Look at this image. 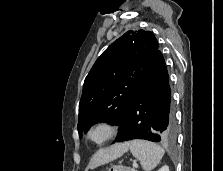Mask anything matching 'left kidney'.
Here are the masks:
<instances>
[{
    "label": "left kidney",
    "mask_w": 223,
    "mask_h": 171,
    "mask_svg": "<svg viewBox=\"0 0 223 171\" xmlns=\"http://www.w3.org/2000/svg\"><path fill=\"white\" fill-rule=\"evenodd\" d=\"M158 171H169V167L168 166H163Z\"/></svg>",
    "instance_id": "1"
}]
</instances>
